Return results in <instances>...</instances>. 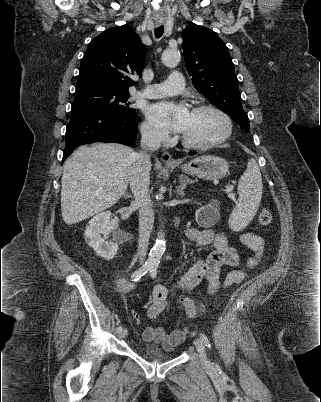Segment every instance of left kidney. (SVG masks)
Here are the masks:
<instances>
[{"mask_svg":"<svg viewBox=\"0 0 321 402\" xmlns=\"http://www.w3.org/2000/svg\"><path fill=\"white\" fill-rule=\"evenodd\" d=\"M218 202L212 201L207 206L199 208L195 212L197 223L203 227H211L219 220V212L217 209Z\"/></svg>","mask_w":321,"mask_h":402,"instance_id":"left-kidney-1","label":"left kidney"}]
</instances>
